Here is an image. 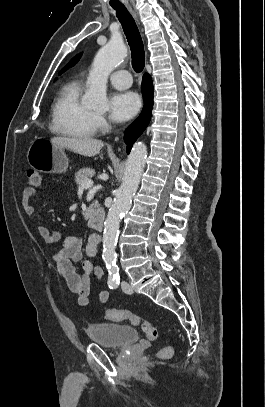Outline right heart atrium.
<instances>
[{
    "label": "right heart atrium",
    "instance_id": "d8ad5b80",
    "mask_svg": "<svg viewBox=\"0 0 265 407\" xmlns=\"http://www.w3.org/2000/svg\"><path fill=\"white\" fill-rule=\"evenodd\" d=\"M94 120H95L96 128L105 129L107 127V121L103 115L95 114Z\"/></svg>",
    "mask_w": 265,
    "mask_h": 407
}]
</instances>
